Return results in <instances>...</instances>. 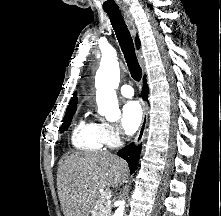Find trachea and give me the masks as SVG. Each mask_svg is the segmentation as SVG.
I'll return each mask as SVG.
<instances>
[{"label": "trachea", "mask_w": 221, "mask_h": 216, "mask_svg": "<svg viewBox=\"0 0 221 216\" xmlns=\"http://www.w3.org/2000/svg\"><path fill=\"white\" fill-rule=\"evenodd\" d=\"M106 13L110 17L111 24L115 30L116 37L121 46L130 74L134 80L140 81L142 77V69L138 63L133 40L127 25L118 10H106Z\"/></svg>", "instance_id": "trachea-1"}]
</instances>
